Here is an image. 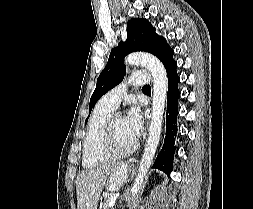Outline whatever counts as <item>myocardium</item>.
I'll return each mask as SVG.
<instances>
[{
  "mask_svg": "<svg viewBox=\"0 0 253 209\" xmlns=\"http://www.w3.org/2000/svg\"><path fill=\"white\" fill-rule=\"evenodd\" d=\"M118 117H120V115L112 114L111 117L107 120L101 139V151L103 154L107 155L110 158L116 159L127 157L134 153L138 148V143L136 141L130 148L126 150H118L115 147L113 128L114 123Z\"/></svg>",
  "mask_w": 253,
  "mask_h": 209,
  "instance_id": "1",
  "label": "myocardium"
}]
</instances>
